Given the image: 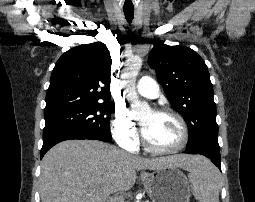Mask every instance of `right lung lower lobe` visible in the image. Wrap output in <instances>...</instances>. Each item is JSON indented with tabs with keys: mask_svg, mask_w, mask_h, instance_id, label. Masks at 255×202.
<instances>
[{
	"mask_svg": "<svg viewBox=\"0 0 255 202\" xmlns=\"http://www.w3.org/2000/svg\"><path fill=\"white\" fill-rule=\"evenodd\" d=\"M70 139L99 140L95 136L78 129L64 128V129L50 130V131L44 132L43 134V146H42L41 155H40L41 158L55 144L61 141L70 140Z\"/></svg>",
	"mask_w": 255,
	"mask_h": 202,
	"instance_id": "right-lung-lower-lobe-1",
	"label": "right lung lower lobe"
}]
</instances>
